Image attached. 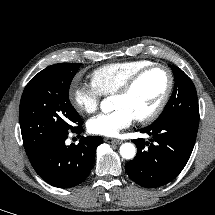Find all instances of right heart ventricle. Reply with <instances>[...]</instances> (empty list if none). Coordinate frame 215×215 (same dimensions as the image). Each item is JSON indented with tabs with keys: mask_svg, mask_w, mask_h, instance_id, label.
Returning <instances> with one entry per match:
<instances>
[{
	"mask_svg": "<svg viewBox=\"0 0 215 215\" xmlns=\"http://www.w3.org/2000/svg\"><path fill=\"white\" fill-rule=\"evenodd\" d=\"M152 64L148 60H132L107 64L93 71L92 83L102 95H113L131 76Z\"/></svg>",
	"mask_w": 215,
	"mask_h": 215,
	"instance_id": "1",
	"label": "right heart ventricle"
}]
</instances>
